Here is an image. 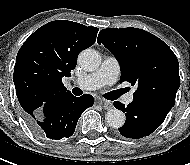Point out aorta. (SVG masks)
<instances>
[{
  "label": "aorta",
  "instance_id": "1",
  "mask_svg": "<svg viewBox=\"0 0 190 165\" xmlns=\"http://www.w3.org/2000/svg\"><path fill=\"white\" fill-rule=\"evenodd\" d=\"M78 62L80 66L87 71H94L99 68L101 64V57L99 53L91 48L81 51L78 56ZM106 122L112 128H120L125 123V114L116 109H110L106 113Z\"/></svg>",
  "mask_w": 190,
  "mask_h": 165
}]
</instances>
